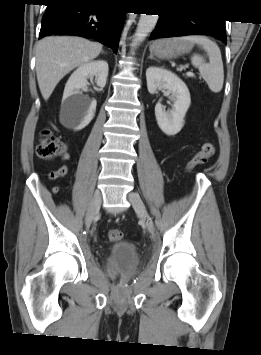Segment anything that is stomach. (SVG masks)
Masks as SVG:
<instances>
[{
  "instance_id": "stomach-1",
  "label": "stomach",
  "mask_w": 261,
  "mask_h": 355,
  "mask_svg": "<svg viewBox=\"0 0 261 355\" xmlns=\"http://www.w3.org/2000/svg\"><path fill=\"white\" fill-rule=\"evenodd\" d=\"M188 41L178 39H160L150 45V52L161 59H171L192 49Z\"/></svg>"
}]
</instances>
